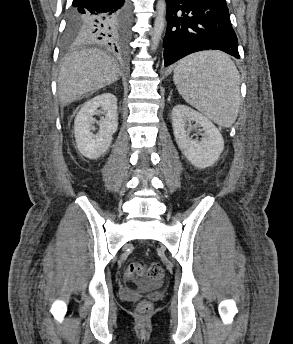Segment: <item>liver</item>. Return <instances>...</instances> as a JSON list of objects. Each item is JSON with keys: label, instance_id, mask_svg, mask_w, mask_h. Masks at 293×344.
<instances>
[{"label": "liver", "instance_id": "liver-1", "mask_svg": "<svg viewBox=\"0 0 293 344\" xmlns=\"http://www.w3.org/2000/svg\"><path fill=\"white\" fill-rule=\"evenodd\" d=\"M118 62L98 49H85L70 54L63 61L58 76V95L63 105L96 92L118 80Z\"/></svg>", "mask_w": 293, "mask_h": 344}]
</instances>
